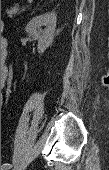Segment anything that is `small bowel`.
I'll return each mask as SVG.
<instances>
[{
  "instance_id": "small-bowel-1",
  "label": "small bowel",
  "mask_w": 109,
  "mask_h": 170,
  "mask_svg": "<svg viewBox=\"0 0 109 170\" xmlns=\"http://www.w3.org/2000/svg\"><path fill=\"white\" fill-rule=\"evenodd\" d=\"M1 45L2 47H6V41L4 39L1 40ZM6 71L4 70L2 72V76H1V82L4 83L5 79H6Z\"/></svg>"
}]
</instances>
